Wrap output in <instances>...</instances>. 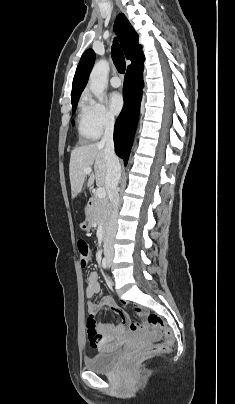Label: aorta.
Returning a JSON list of instances; mask_svg holds the SVG:
<instances>
[{
    "label": "aorta",
    "mask_w": 235,
    "mask_h": 404,
    "mask_svg": "<svg viewBox=\"0 0 235 404\" xmlns=\"http://www.w3.org/2000/svg\"><path fill=\"white\" fill-rule=\"evenodd\" d=\"M109 63L101 59L93 67L89 77V88L94 96L102 101V94L107 85Z\"/></svg>",
    "instance_id": "obj_1"
}]
</instances>
